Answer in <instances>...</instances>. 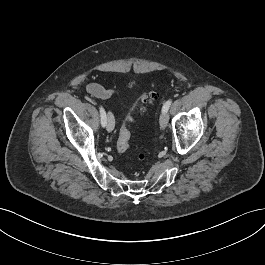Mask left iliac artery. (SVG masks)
Returning a JSON list of instances; mask_svg holds the SVG:
<instances>
[{
	"label": "left iliac artery",
	"mask_w": 265,
	"mask_h": 265,
	"mask_svg": "<svg viewBox=\"0 0 265 265\" xmlns=\"http://www.w3.org/2000/svg\"><path fill=\"white\" fill-rule=\"evenodd\" d=\"M171 103H172V100L171 99L168 100V101H166L165 104L163 105L162 111L163 112H167L168 109H169V107H170V105H171Z\"/></svg>",
	"instance_id": "obj_1"
}]
</instances>
